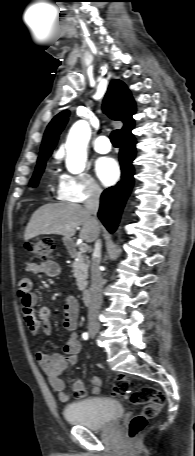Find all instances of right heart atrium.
<instances>
[{
  "label": "right heart atrium",
  "mask_w": 195,
  "mask_h": 456,
  "mask_svg": "<svg viewBox=\"0 0 195 456\" xmlns=\"http://www.w3.org/2000/svg\"><path fill=\"white\" fill-rule=\"evenodd\" d=\"M101 193L102 188L86 173L79 175L63 174L57 187L58 198L72 203H82L96 199Z\"/></svg>",
  "instance_id": "obj_1"
}]
</instances>
